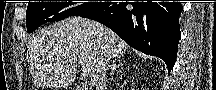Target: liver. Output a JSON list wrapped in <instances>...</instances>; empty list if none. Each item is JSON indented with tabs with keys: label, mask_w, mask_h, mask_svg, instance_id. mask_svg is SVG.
<instances>
[{
	"label": "liver",
	"mask_w": 216,
	"mask_h": 90,
	"mask_svg": "<svg viewBox=\"0 0 216 90\" xmlns=\"http://www.w3.org/2000/svg\"><path fill=\"white\" fill-rule=\"evenodd\" d=\"M129 46L115 32L86 18H67L40 30L27 46L29 74L36 88L72 86L81 70L90 76L88 90L98 82L103 60L121 58ZM85 90V88H82Z\"/></svg>",
	"instance_id": "liver-1"
}]
</instances>
